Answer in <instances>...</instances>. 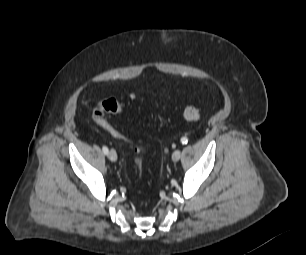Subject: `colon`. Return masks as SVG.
I'll return each mask as SVG.
<instances>
[{"mask_svg": "<svg viewBox=\"0 0 306 255\" xmlns=\"http://www.w3.org/2000/svg\"><path fill=\"white\" fill-rule=\"evenodd\" d=\"M126 108L124 102L110 97L106 98L98 103L94 108L92 117L94 122L103 130L107 131L113 137L124 140L126 142L133 143L126 136H124L119 130L112 126L106 119L105 114H119ZM183 117L190 122H197L200 119L199 110L191 105L185 106L182 110ZM135 145L136 156L134 162L139 170V175L142 173V161L145 155V148L139 144Z\"/></svg>", "mask_w": 306, "mask_h": 255, "instance_id": "5ec220e1", "label": "colon"}]
</instances>
